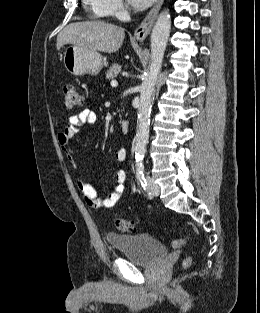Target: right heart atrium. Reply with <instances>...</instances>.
<instances>
[{
    "label": "right heart atrium",
    "instance_id": "obj_1",
    "mask_svg": "<svg viewBox=\"0 0 260 313\" xmlns=\"http://www.w3.org/2000/svg\"><path fill=\"white\" fill-rule=\"evenodd\" d=\"M108 5L109 15L120 17L124 13V4L122 0H106Z\"/></svg>",
    "mask_w": 260,
    "mask_h": 313
}]
</instances>
